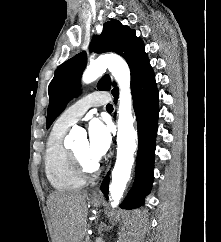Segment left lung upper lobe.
Masks as SVG:
<instances>
[{
	"label": "left lung upper lobe",
	"instance_id": "1",
	"mask_svg": "<svg viewBox=\"0 0 221 242\" xmlns=\"http://www.w3.org/2000/svg\"><path fill=\"white\" fill-rule=\"evenodd\" d=\"M90 50L99 53L113 51L121 55L130 67L131 77L149 65L144 44L135 35V30L123 26L114 19L106 22L101 35L92 39ZM86 63L87 55L82 52L64 62L56 70L48 87L50 102L47 111V128L65 109L69 100L79 94L80 79ZM111 85L116 86V83L111 82L109 75H104L97 87L99 90L108 91L111 89ZM116 90H118L117 87L112 92Z\"/></svg>",
	"mask_w": 221,
	"mask_h": 242
}]
</instances>
